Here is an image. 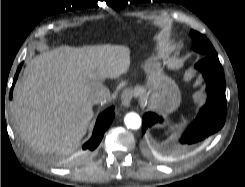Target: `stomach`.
Segmentation results:
<instances>
[{
	"instance_id": "0dacf381",
	"label": "stomach",
	"mask_w": 245,
	"mask_h": 187,
	"mask_svg": "<svg viewBox=\"0 0 245 187\" xmlns=\"http://www.w3.org/2000/svg\"><path fill=\"white\" fill-rule=\"evenodd\" d=\"M146 81L134 89L150 107L168 114L177 109L181 101L180 91L175 82L168 77L161 67L146 63L144 65Z\"/></svg>"
}]
</instances>
